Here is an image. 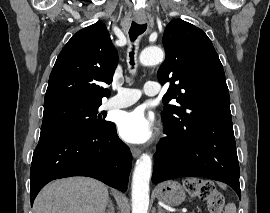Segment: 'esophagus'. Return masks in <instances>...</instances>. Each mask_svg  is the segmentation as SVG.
<instances>
[{
    "label": "esophagus",
    "mask_w": 270,
    "mask_h": 213,
    "mask_svg": "<svg viewBox=\"0 0 270 213\" xmlns=\"http://www.w3.org/2000/svg\"><path fill=\"white\" fill-rule=\"evenodd\" d=\"M136 21L139 24H144L146 22V17H144V16L136 17ZM131 153H132L134 158H137L140 155L141 150L139 148H137V147H132L131 148Z\"/></svg>",
    "instance_id": "obj_1"
}]
</instances>
